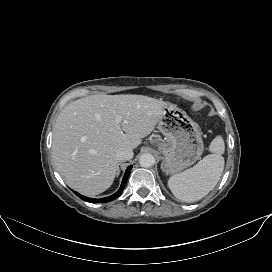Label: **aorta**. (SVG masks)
Here are the masks:
<instances>
[{
	"label": "aorta",
	"mask_w": 272,
	"mask_h": 272,
	"mask_svg": "<svg viewBox=\"0 0 272 272\" xmlns=\"http://www.w3.org/2000/svg\"><path fill=\"white\" fill-rule=\"evenodd\" d=\"M139 164L142 167H151L155 164V157L150 153H144L139 158Z\"/></svg>",
	"instance_id": "aorta-1"
}]
</instances>
